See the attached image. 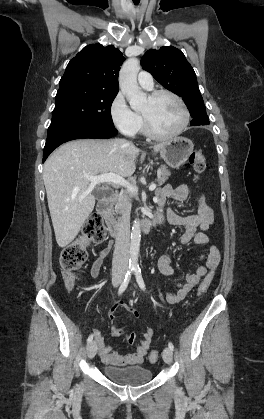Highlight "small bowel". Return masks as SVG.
I'll return each mask as SVG.
<instances>
[{"label": "small bowel", "instance_id": "small-bowel-1", "mask_svg": "<svg viewBox=\"0 0 264 419\" xmlns=\"http://www.w3.org/2000/svg\"><path fill=\"white\" fill-rule=\"evenodd\" d=\"M192 194V189L188 184H182L173 188L170 185H165L158 190L156 195V202L160 207L156 214L161 221L166 220L170 225L182 226L184 233L181 236V243L188 244L193 241L198 245H206L210 243L207 231L213 223V211L208 205L204 195L198 196V209L195 214L178 215L172 209H165L167 199L171 198L178 202L187 200ZM111 249V244L100 251L99 256L91 267V275L97 278L104 259L107 257ZM200 260L205 261L204 266L197 267L193 272L187 273L183 283H177V289L174 292L164 295L159 291L161 301L168 304H176L182 301L188 293L199 283L202 277L207 272L214 271L220 261V253L218 249L210 245L208 252L200 257ZM158 268L165 276L174 274V268L171 264V259L168 255H163L158 260ZM125 306L124 303H119L111 308L108 313V318L112 324L110 327V334L114 337H119L125 340L128 344H135L136 352L134 354L122 355L113 351L109 345L106 344L105 339L100 330L96 329L93 332L94 342L97 346V351L102 362L110 366H130L141 364L148 354L151 342L155 333L152 328H146L139 341H137L138 334L136 332L125 333L123 330L116 328L113 323L116 318V311L119 307ZM136 314V312H135Z\"/></svg>", "mask_w": 264, "mask_h": 419}]
</instances>
